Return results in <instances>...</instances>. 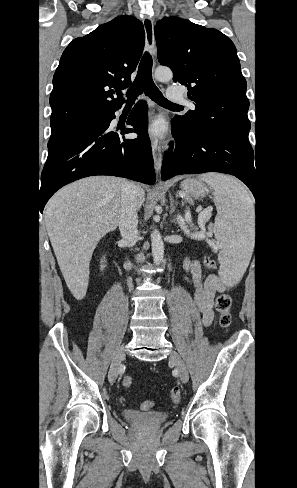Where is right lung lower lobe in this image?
<instances>
[{
  "mask_svg": "<svg viewBox=\"0 0 297 488\" xmlns=\"http://www.w3.org/2000/svg\"><path fill=\"white\" fill-rule=\"evenodd\" d=\"M113 118L114 113L95 125L66 135L48 148L38 190V210L41 213L58 189L84 177L111 175L154 184L152 150L147 134V105L139 102L132 110L127 123L134 129L111 131L109 125ZM131 132L139 136L125 139L124 134Z\"/></svg>",
  "mask_w": 297,
  "mask_h": 488,
  "instance_id": "98d812e1",
  "label": "right lung lower lobe"
}]
</instances>
